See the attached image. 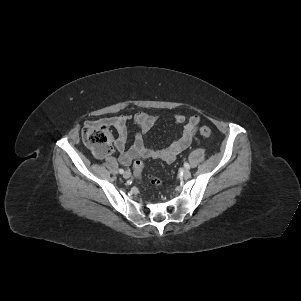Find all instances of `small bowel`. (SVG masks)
<instances>
[{
  "label": "small bowel",
  "instance_id": "obj_1",
  "mask_svg": "<svg viewBox=\"0 0 301 301\" xmlns=\"http://www.w3.org/2000/svg\"><path fill=\"white\" fill-rule=\"evenodd\" d=\"M156 120V116L146 112L137 113L133 121L139 127V132L136 134L133 144L127 148V124L129 118L124 115H119L104 119V123L114 127L117 131L114 146L119 154V162L122 165L129 166L133 160L138 158L160 159L167 163L173 162L177 155L185 150L192 142L196 128L200 122V117L198 115H192L186 118L182 114H176L174 121L176 124L182 125L181 135L164 148H155L147 145L143 139V135L153 127Z\"/></svg>",
  "mask_w": 301,
  "mask_h": 301
}]
</instances>
